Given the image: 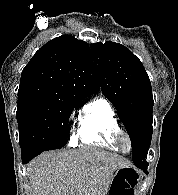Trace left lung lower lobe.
Wrapping results in <instances>:
<instances>
[{"instance_id": "left-lung-lower-lobe-1", "label": "left lung lower lobe", "mask_w": 178, "mask_h": 195, "mask_svg": "<svg viewBox=\"0 0 178 195\" xmlns=\"http://www.w3.org/2000/svg\"><path fill=\"white\" fill-rule=\"evenodd\" d=\"M138 168L142 169L144 171V173H148L147 168H148V163L146 165L143 166H137Z\"/></svg>"}]
</instances>
